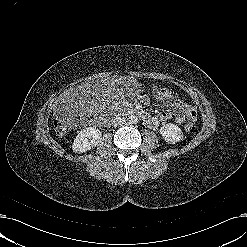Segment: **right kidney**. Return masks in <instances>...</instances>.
<instances>
[{
	"label": "right kidney",
	"instance_id": "obj_1",
	"mask_svg": "<svg viewBox=\"0 0 247 247\" xmlns=\"http://www.w3.org/2000/svg\"><path fill=\"white\" fill-rule=\"evenodd\" d=\"M102 133L95 127H88L81 130L72 144L75 153L87 152L95 147L101 140Z\"/></svg>",
	"mask_w": 247,
	"mask_h": 247
}]
</instances>
